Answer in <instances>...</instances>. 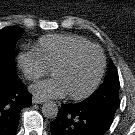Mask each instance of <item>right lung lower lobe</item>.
I'll use <instances>...</instances> for the list:
<instances>
[{"label": "right lung lower lobe", "instance_id": "obj_1", "mask_svg": "<svg viewBox=\"0 0 135 135\" xmlns=\"http://www.w3.org/2000/svg\"><path fill=\"white\" fill-rule=\"evenodd\" d=\"M32 95L16 75L0 78V135H15L22 108L30 106Z\"/></svg>", "mask_w": 135, "mask_h": 135}]
</instances>
